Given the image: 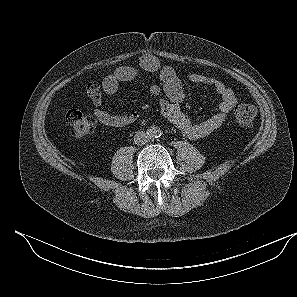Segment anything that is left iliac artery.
Listing matches in <instances>:
<instances>
[{
    "label": "left iliac artery",
    "instance_id": "44dca946",
    "mask_svg": "<svg viewBox=\"0 0 297 297\" xmlns=\"http://www.w3.org/2000/svg\"><path fill=\"white\" fill-rule=\"evenodd\" d=\"M161 134H162V133H161V131H160V130H157V131H156V136H157V137H160V136H161Z\"/></svg>",
    "mask_w": 297,
    "mask_h": 297
}]
</instances>
